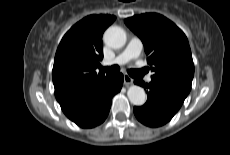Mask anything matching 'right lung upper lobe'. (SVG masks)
<instances>
[{"label": "right lung upper lobe", "instance_id": "obj_1", "mask_svg": "<svg viewBox=\"0 0 230 155\" xmlns=\"http://www.w3.org/2000/svg\"><path fill=\"white\" fill-rule=\"evenodd\" d=\"M112 15H90L76 23L62 38L56 51L52 79L59 103L87 93L110 73H96L103 58L102 35L115 21Z\"/></svg>", "mask_w": 230, "mask_h": 155}]
</instances>
